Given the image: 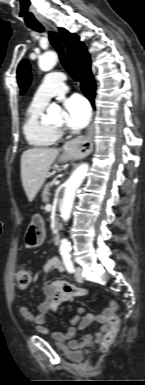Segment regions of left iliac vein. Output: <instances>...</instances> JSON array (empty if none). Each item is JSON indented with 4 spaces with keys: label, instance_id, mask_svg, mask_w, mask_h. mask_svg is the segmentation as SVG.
Instances as JSON below:
<instances>
[{
    "label": "left iliac vein",
    "instance_id": "1",
    "mask_svg": "<svg viewBox=\"0 0 145 385\" xmlns=\"http://www.w3.org/2000/svg\"><path fill=\"white\" fill-rule=\"evenodd\" d=\"M75 278L78 282H83L84 278L82 275V268L81 267H76Z\"/></svg>",
    "mask_w": 145,
    "mask_h": 385
}]
</instances>
